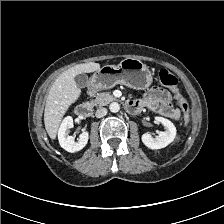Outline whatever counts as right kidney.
<instances>
[{
  "instance_id": "obj_1",
  "label": "right kidney",
  "mask_w": 224,
  "mask_h": 224,
  "mask_svg": "<svg viewBox=\"0 0 224 224\" xmlns=\"http://www.w3.org/2000/svg\"><path fill=\"white\" fill-rule=\"evenodd\" d=\"M73 127V118L71 116H67L62 121L60 128L58 130V140L60 146L68 152H76L83 149L89 138V133L84 131L80 134L79 140L75 141L73 136H69L67 131L68 129Z\"/></svg>"
}]
</instances>
